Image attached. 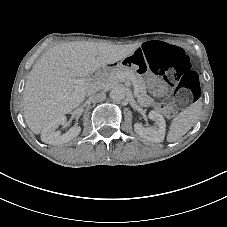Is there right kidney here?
Listing matches in <instances>:
<instances>
[{
  "mask_svg": "<svg viewBox=\"0 0 227 227\" xmlns=\"http://www.w3.org/2000/svg\"><path fill=\"white\" fill-rule=\"evenodd\" d=\"M67 121L66 116L62 115L55 120L50 121L41 131V140L46 144L58 145L64 144L76 138L80 132V126L71 127L66 133L61 134L57 128L65 124Z\"/></svg>",
  "mask_w": 227,
  "mask_h": 227,
  "instance_id": "ca27d5eb",
  "label": "right kidney"
}]
</instances>
